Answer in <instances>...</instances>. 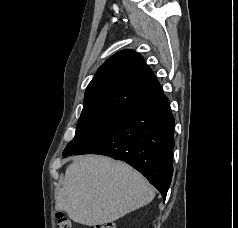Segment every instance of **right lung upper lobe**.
I'll use <instances>...</instances> for the list:
<instances>
[{
  "instance_id": "1",
  "label": "right lung upper lobe",
  "mask_w": 238,
  "mask_h": 228,
  "mask_svg": "<svg viewBox=\"0 0 238 228\" xmlns=\"http://www.w3.org/2000/svg\"><path fill=\"white\" fill-rule=\"evenodd\" d=\"M162 94L142 56L123 50L98 69L86 89L82 112L124 114Z\"/></svg>"
}]
</instances>
